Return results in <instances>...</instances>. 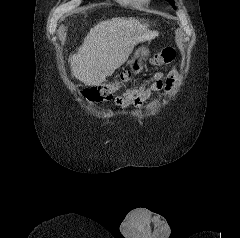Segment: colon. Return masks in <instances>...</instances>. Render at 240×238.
Here are the masks:
<instances>
[{"label": "colon", "mask_w": 240, "mask_h": 238, "mask_svg": "<svg viewBox=\"0 0 240 238\" xmlns=\"http://www.w3.org/2000/svg\"><path fill=\"white\" fill-rule=\"evenodd\" d=\"M174 58L175 50L171 47H167L154 55L152 64L156 66L167 65L170 64ZM130 78L131 75L128 72H124L120 75L119 80L85 88L82 90V94L85 98L93 102L110 100L120 86Z\"/></svg>", "instance_id": "obj_1"}]
</instances>
